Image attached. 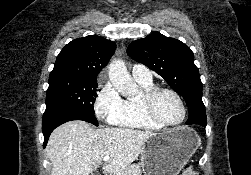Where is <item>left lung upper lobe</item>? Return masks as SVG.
<instances>
[{
  "instance_id": "obj_1",
  "label": "left lung upper lobe",
  "mask_w": 251,
  "mask_h": 175,
  "mask_svg": "<svg viewBox=\"0 0 251 175\" xmlns=\"http://www.w3.org/2000/svg\"><path fill=\"white\" fill-rule=\"evenodd\" d=\"M128 55L161 75L187 105L204 106L202 82L194 55L183 42L153 32L129 44ZM206 127V124H202Z\"/></svg>"
}]
</instances>
